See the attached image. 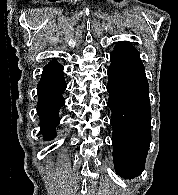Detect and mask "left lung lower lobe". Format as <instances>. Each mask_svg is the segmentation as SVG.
<instances>
[{
    "mask_svg": "<svg viewBox=\"0 0 178 195\" xmlns=\"http://www.w3.org/2000/svg\"><path fill=\"white\" fill-rule=\"evenodd\" d=\"M110 61L107 91L114 167L122 177L133 178L144 169L151 141L149 86L138 56L113 51Z\"/></svg>",
    "mask_w": 178,
    "mask_h": 195,
    "instance_id": "obj_1",
    "label": "left lung lower lobe"
}]
</instances>
